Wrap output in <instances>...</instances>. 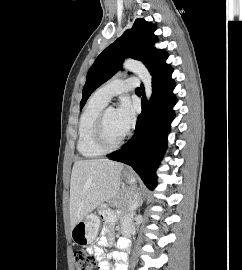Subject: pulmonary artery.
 <instances>
[{"label":"pulmonary artery","mask_w":242,"mask_h":270,"mask_svg":"<svg viewBox=\"0 0 242 270\" xmlns=\"http://www.w3.org/2000/svg\"><path fill=\"white\" fill-rule=\"evenodd\" d=\"M137 87V78L113 79L98 88L94 93V97L107 103L112 97Z\"/></svg>","instance_id":"e3ab8cb5"}]
</instances>
